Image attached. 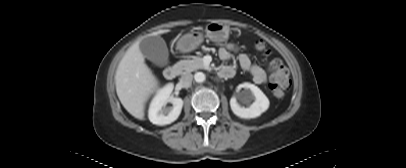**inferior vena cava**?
Returning <instances> with one entry per match:
<instances>
[{"label":"inferior vena cava","instance_id":"inferior-vena-cava-1","mask_svg":"<svg viewBox=\"0 0 406 168\" xmlns=\"http://www.w3.org/2000/svg\"><path fill=\"white\" fill-rule=\"evenodd\" d=\"M193 75L191 73H186L180 78V84L184 88H189L192 84Z\"/></svg>","mask_w":406,"mask_h":168}]
</instances>
